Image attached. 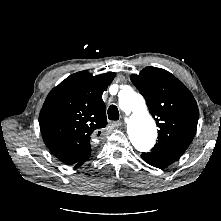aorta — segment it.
<instances>
[{
    "label": "aorta",
    "instance_id": "1",
    "mask_svg": "<svg viewBox=\"0 0 221 221\" xmlns=\"http://www.w3.org/2000/svg\"><path fill=\"white\" fill-rule=\"evenodd\" d=\"M119 106L128 115L127 129L131 143L139 152H148L155 144L157 128L144 99L130 90L119 99Z\"/></svg>",
    "mask_w": 221,
    "mask_h": 221
}]
</instances>
